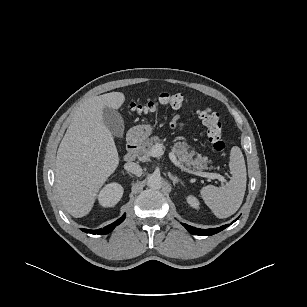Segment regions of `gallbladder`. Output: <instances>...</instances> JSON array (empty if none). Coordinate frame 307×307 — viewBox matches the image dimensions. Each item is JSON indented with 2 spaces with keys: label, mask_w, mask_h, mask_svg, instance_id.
I'll return each mask as SVG.
<instances>
[{
  "label": "gallbladder",
  "mask_w": 307,
  "mask_h": 307,
  "mask_svg": "<svg viewBox=\"0 0 307 307\" xmlns=\"http://www.w3.org/2000/svg\"><path fill=\"white\" fill-rule=\"evenodd\" d=\"M103 122L114 136L123 137L124 121L118 111L105 106L103 108Z\"/></svg>",
  "instance_id": "bac80fb5"
}]
</instances>
